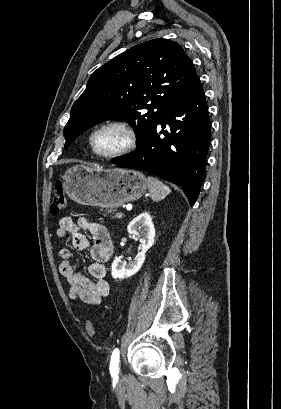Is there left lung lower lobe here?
Returning a JSON list of instances; mask_svg holds the SVG:
<instances>
[{"mask_svg":"<svg viewBox=\"0 0 281 409\" xmlns=\"http://www.w3.org/2000/svg\"><path fill=\"white\" fill-rule=\"evenodd\" d=\"M168 130H163L164 128ZM162 128V130H160ZM211 123L198 76L168 107L138 149L113 163L144 170L182 187L190 205L200 189L210 143Z\"/></svg>","mask_w":281,"mask_h":409,"instance_id":"left-lung-lower-lobe-1","label":"left lung lower lobe"}]
</instances>
